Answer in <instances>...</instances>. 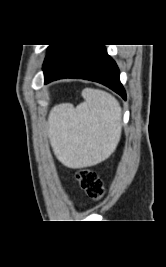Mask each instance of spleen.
<instances>
[{
    "label": "spleen",
    "instance_id": "3e777b00",
    "mask_svg": "<svg viewBox=\"0 0 166 267\" xmlns=\"http://www.w3.org/2000/svg\"><path fill=\"white\" fill-rule=\"evenodd\" d=\"M76 108L55 107L48 119L49 137L57 158L71 168L98 164L116 149L121 137L122 110L111 94L92 88L82 91Z\"/></svg>",
    "mask_w": 166,
    "mask_h": 267
}]
</instances>
